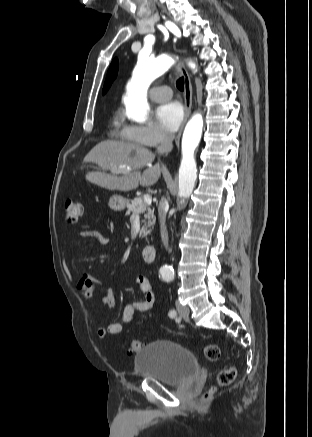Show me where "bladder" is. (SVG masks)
Here are the masks:
<instances>
[{
    "label": "bladder",
    "mask_w": 312,
    "mask_h": 437,
    "mask_svg": "<svg viewBox=\"0 0 312 437\" xmlns=\"http://www.w3.org/2000/svg\"><path fill=\"white\" fill-rule=\"evenodd\" d=\"M134 362L140 376L170 385H179L200 371L196 356L169 340L148 343L137 352Z\"/></svg>",
    "instance_id": "bladder-1"
}]
</instances>
